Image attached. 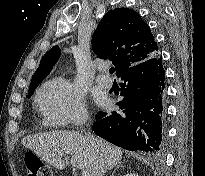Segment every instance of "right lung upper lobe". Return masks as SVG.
<instances>
[{"label":"right lung upper lobe","instance_id":"cb5924a9","mask_svg":"<svg viewBox=\"0 0 205 176\" xmlns=\"http://www.w3.org/2000/svg\"><path fill=\"white\" fill-rule=\"evenodd\" d=\"M92 46L99 58L113 61L118 76L128 68L154 56H160L149 26L134 10L118 8L108 11L101 19L92 37ZM60 57L54 46L41 59L34 73L29 91L50 73Z\"/></svg>","mask_w":205,"mask_h":176}]
</instances>
